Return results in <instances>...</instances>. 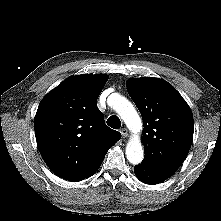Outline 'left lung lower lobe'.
I'll return each mask as SVG.
<instances>
[{
	"instance_id": "left-lung-lower-lobe-1",
	"label": "left lung lower lobe",
	"mask_w": 221,
	"mask_h": 221,
	"mask_svg": "<svg viewBox=\"0 0 221 221\" xmlns=\"http://www.w3.org/2000/svg\"><path fill=\"white\" fill-rule=\"evenodd\" d=\"M134 172L140 181L151 185L158 184L174 174L173 172L152 166L145 162L136 165Z\"/></svg>"
}]
</instances>
